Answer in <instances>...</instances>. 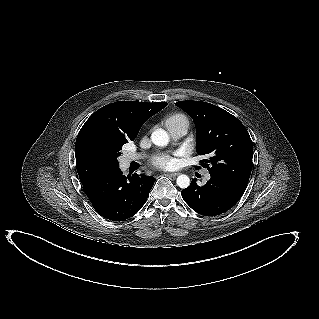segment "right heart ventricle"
<instances>
[{"mask_svg":"<svg viewBox=\"0 0 319 319\" xmlns=\"http://www.w3.org/2000/svg\"><path fill=\"white\" fill-rule=\"evenodd\" d=\"M170 122H182L186 125H188V121L186 119V117L184 115H181V114H175V115H172L170 116L166 123H170Z\"/></svg>","mask_w":319,"mask_h":319,"instance_id":"1","label":"right heart ventricle"}]
</instances>
